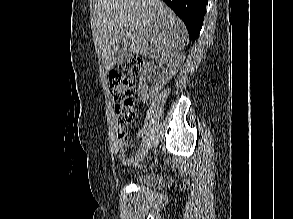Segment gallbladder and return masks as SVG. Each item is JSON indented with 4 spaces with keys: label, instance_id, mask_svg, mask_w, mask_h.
Wrapping results in <instances>:
<instances>
[{
    "label": "gallbladder",
    "instance_id": "1",
    "mask_svg": "<svg viewBox=\"0 0 293 219\" xmlns=\"http://www.w3.org/2000/svg\"><path fill=\"white\" fill-rule=\"evenodd\" d=\"M132 56L130 40L128 37H122L119 39L116 45L115 57L116 64L120 65L130 60Z\"/></svg>",
    "mask_w": 293,
    "mask_h": 219
}]
</instances>
